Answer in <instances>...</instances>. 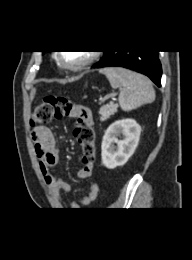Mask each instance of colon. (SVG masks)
I'll return each instance as SVG.
<instances>
[{"instance_id":"1","label":"colon","mask_w":192,"mask_h":260,"mask_svg":"<svg viewBox=\"0 0 192 260\" xmlns=\"http://www.w3.org/2000/svg\"><path fill=\"white\" fill-rule=\"evenodd\" d=\"M53 118L76 119L75 136L83 148V165L93 164L95 156V131L90 120V110L63 96H47L36 106L31 125L40 126Z\"/></svg>"}]
</instances>
